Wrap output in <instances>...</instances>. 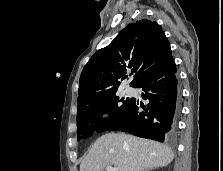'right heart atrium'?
<instances>
[{
  "mask_svg": "<svg viewBox=\"0 0 223 171\" xmlns=\"http://www.w3.org/2000/svg\"><path fill=\"white\" fill-rule=\"evenodd\" d=\"M99 117H100V120H101L102 122H104V123H107V122L110 120V118H111L109 112H107V111H102V112L99 114Z\"/></svg>",
  "mask_w": 223,
  "mask_h": 171,
  "instance_id": "d8ad5b80",
  "label": "right heart atrium"
}]
</instances>
